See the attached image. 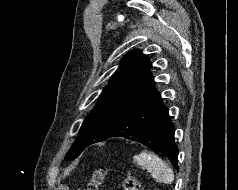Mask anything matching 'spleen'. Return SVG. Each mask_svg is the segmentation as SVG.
<instances>
[{"label": "spleen", "mask_w": 238, "mask_h": 190, "mask_svg": "<svg viewBox=\"0 0 238 190\" xmlns=\"http://www.w3.org/2000/svg\"><path fill=\"white\" fill-rule=\"evenodd\" d=\"M134 160L138 165L146 168L156 181L165 184L174 181L173 170L157 155L143 151L135 155Z\"/></svg>", "instance_id": "obj_1"}]
</instances>
